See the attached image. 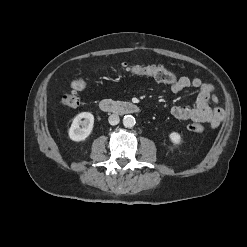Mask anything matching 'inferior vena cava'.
Masks as SVG:
<instances>
[{
  "label": "inferior vena cava",
  "instance_id": "602c4592",
  "mask_svg": "<svg viewBox=\"0 0 247 247\" xmlns=\"http://www.w3.org/2000/svg\"><path fill=\"white\" fill-rule=\"evenodd\" d=\"M108 121L111 125H117L120 121V118L117 114H112L109 116Z\"/></svg>",
  "mask_w": 247,
  "mask_h": 247
}]
</instances>
